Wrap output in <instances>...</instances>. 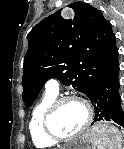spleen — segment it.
Wrapping results in <instances>:
<instances>
[{"mask_svg": "<svg viewBox=\"0 0 124 149\" xmlns=\"http://www.w3.org/2000/svg\"><path fill=\"white\" fill-rule=\"evenodd\" d=\"M91 139L97 149H121V134L113 126H101Z\"/></svg>", "mask_w": 124, "mask_h": 149, "instance_id": "1", "label": "spleen"}]
</instances>
